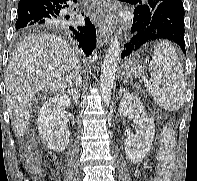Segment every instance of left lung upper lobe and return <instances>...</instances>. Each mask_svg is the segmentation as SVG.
<instances>
[{"label": "left lung upper lobe", "mask_w": 197, "mask_h": 181, "mask_svg": "<svg viewBox=\"0 0 197 181\" xmlns=\"http://www.w3.org/2000/svg\"><path fill=\"white\" fill-rule=\"evenodd\" d=\"M166 0H149L148 5H140L134 10V19L145 20L151 17L159 3Z\"/></svg>", "instance_id": "obj_1"}]
</instances>
